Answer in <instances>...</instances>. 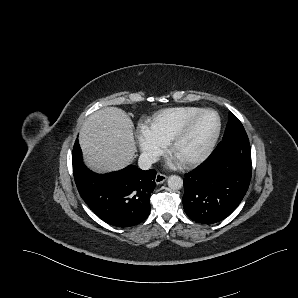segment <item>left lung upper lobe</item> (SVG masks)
<instances>
[{"label": "left lung upper lobe", "instance_id": "obj_1", "mask_svg": "<svg viewBox=\"0 0 298 298\" xmlns=\"http://www.w3.org/2000/svg\"><path fill=\"white\" fill-rule=\"evenodd\" d=\"M240 131H245L243 125L234 114L229 112L228 123H227L224 136H228L230 134H233L235 132H240Z\"/></svg>", "mask_w": 298, "mask_h": 298}]
</instances>
